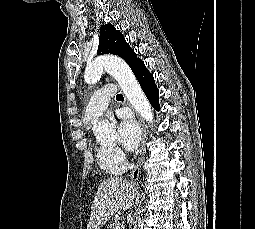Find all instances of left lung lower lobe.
Wrapping results in <instances>:
<instances>
[{"label": "left lung lower lobe", "instance_id": "left-lung-lower-lobe-1", "mask_svg": "<svg viewBox=\"0 0 255 229\" xmlns=\"http://www.w3.org/2000/svg\"><path fill=\"white\" fill-rule=\"evenodd\" d=\"M132 71L153 108L159 111V91L155 84L153 75L147 70L144 62L141 59L138 60V62L132 68Z\"/></svg>", "mask_w": 255, "mask_h": 229}]
</instances>
